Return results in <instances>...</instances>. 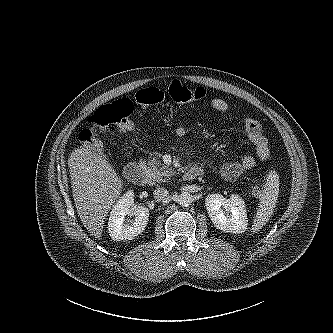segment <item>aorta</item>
Masks as SVG:
<instances>
[{"mask_svg": "<svg viewBox=\"0 0 333 333\" xmlns=\"http://www.w3.org/2000/svg\"><path fill=\"white\" fill-rule=\"evenodd\" d=\"M177 201L181 206L187 207L192 203L193 198H192V195L189 192H182L178 196Z\"/></svg>", "mask_w": 333, "mask_h": 333, "instance_id": "aorta-1", "label": "aorta"}]
</instances>
